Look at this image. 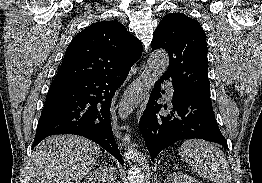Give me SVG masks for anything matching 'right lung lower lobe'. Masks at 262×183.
<instances>
[{
  "mask_svg": "<svg viewBox=\"0 0 262 183\" xmlns=\"http://www.w3.org/2000/svg\"><path fill=\"white\" fill-rule=\"evenodd\" d=\"M129 70L109 76L74 81H53L38 122L34 148L54 134H76L93 140L121 164L110 121V106Z\"/></svg>",
  "mask_w": 262,
  "mask_h": 183,
  "instance_id": "obj_1",
  "label": "right lung lower lobe"
}]
</instances>
